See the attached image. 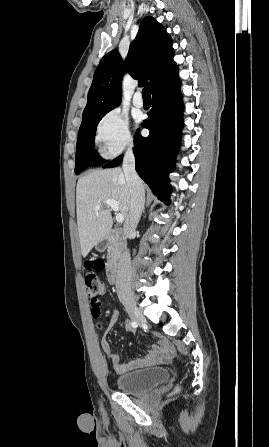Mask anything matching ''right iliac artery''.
<instances>
[{
  "label": "right iliac artery",
  "instance_id": "right-iliac-artery-1",
  "mask_svg": "<svg viewBox=\"0 0 269 447\" xmlns=\"http://www.w3.org/2000/svg\"><path fill=\"white\" fill-rule=\"evenodd\" d=\"M131 324H132L133 327H137L138 326L135 321H133Z\"/></svg>",
  "mask_w": 269,
  "mask_h": 447
}]
</instances>
